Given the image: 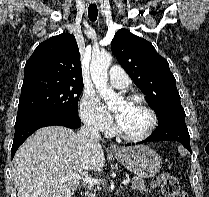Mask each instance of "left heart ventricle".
Here are the masks:
<instances>
[{"label":"left heart ventricle","mask_w":209,"mask_h":197,"mask_svg":"<svg viewBox=\"0 0 209 197\" xmlns=\"http://www.w3.org/2000/svg\"><path fill=\"white\" fill-rule=\"evenodd\" d=\"M118 123L130 135L143 133L150 124L148 111L139 102L120 101L116 107Z\"/></svg>","instance_id":"obj_1"}]
</instances>
